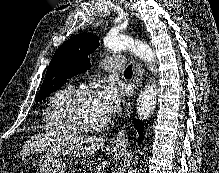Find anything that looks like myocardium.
<instances>
[{
	"instance_id": "obj_1",
	"label": "myocardium",
	"mask_w": 219,
	"mask_h": 173,
	"mask_svg": "<svg viewBox=\"0 0 219 173\" xmlns=\"http://www.w3.org/2000/svg\"><path fill=\"white\" fill-rule=\"evenodd\" d=\"M96 93V90L91 86H84L75 89L64 101L62 105V117L67 126L76 133L91 134L102 131L107 127L110 119L107 117L97 125H84L76 117L75 106L85 96Z\"/></svg>"
}]
</instances>
